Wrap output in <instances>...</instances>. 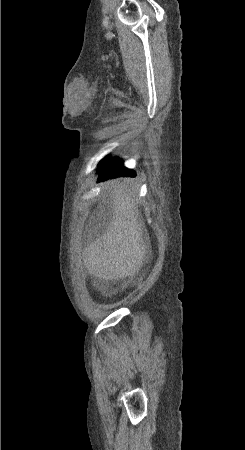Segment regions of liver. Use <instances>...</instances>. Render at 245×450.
<instances>
[{"label": "liver", "mask_w": 245, "mask_h": 450, "mask_svg": "<svg viewBox=\"0 0 245 450\" xmlns=\"http://www.w3.org/2000/svg\"><path fill=\"white\" fill-rule=\"evenodd\" d=\"M110 222L105 233L83 252L88 273L105 280L134 275L146 256L144 226L135 204V189L120 179L112 182Z\"/></svg>", "instance_id": "obj_1"}]
</instances>
